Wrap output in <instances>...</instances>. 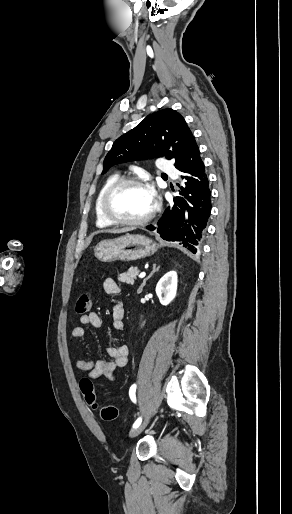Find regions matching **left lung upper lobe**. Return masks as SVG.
<instances>
[{"instance_id":"left-lung-upper-lobe-1","label":"left lung upper lobe","mask_w":292,"mask_h":514,"mask_svg":"<svg viewBox=\"0 0 292 514\" xmlns=\"http://www.w3.org/2000/svg\"><path fill=\"white\" fill-rule=\"evenodd\" d=\"M195 140L183 116L163 109L119 137L104 159L102 174L116 164L165 156L178 168Z\"/></svg>"}]
</instances>
